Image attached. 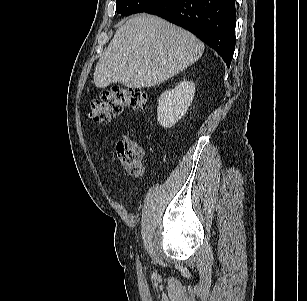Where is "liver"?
I'll list each match as a JSON object with an SVG mask.
<instances>
[{"mask_svg": "<svg viewBox=\"0 0 307 301\" xmlns=\"http://www.w3.org/2000/svg\"><path fill=\"white\" fill-rule=\"evenodd\" d=\"M203 51L204 44L189 31L160 17L139 14L115 32L96 65L94 84L152 87L195 63Z\"/></svg>", "mask_w": 307, "mask_h": 301, "instance_id": "1", "label": "liver"}]
</instances>
